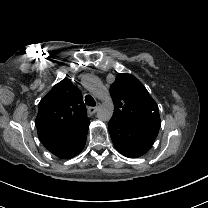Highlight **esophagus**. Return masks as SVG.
<instances>
[{"label": "esophagus", "mask_w": 208, "mask_h": 208, "mask_svg": "<svg viewBox=\"0 0 208 208\" xmlns=\"http://www.w3.org/2000/svg\"><path fill=\"white\" fill-rule=\"evenodd\" d=\"M100 105H101V104L98 103L97 106H95V107H88V108H87V113H88L89 115H93L94 113H96V112L99 110Z\"/></svg>", "instance_id": "1"}]
</instances>
